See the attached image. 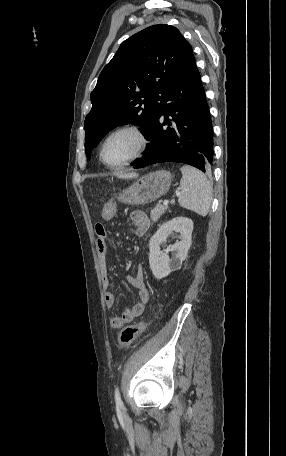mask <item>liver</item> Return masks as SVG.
I'll return each instance as SVG.
<instances>
[{"instance_id": "6515ba94", "label": "liver", "mask_w": 286, "mask_h": 456, "mask_svg": "<svg viewBox=\"0 0 286 456\" xmlns=\"http://www.w3.org/2000/svg\"><path fill=\"white\" fill-rule=\"evenodd\" d=\"M114 175L118 178H122V179H131V178H136L138 177V174L137 173H124V172H116L114 173Z\"/></svg>"}]
</instances>
